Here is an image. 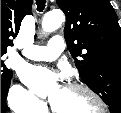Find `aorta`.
<instances>
[{"mask_svg":"<svg viewBox=\"0 0 121 113\" xmlns=\"http://www.w3.org/2000/svg\"><path fill=\"white\" fill-rule=\"evenodd\" d=\"M64 21V15L60 10L46 13L42 20V28L45 32H53L58 29Z\"/></svg>","mask_w":121,"mask_h":113,"instance_id":"aorta-1","label":"aorta"}]
</instances>
